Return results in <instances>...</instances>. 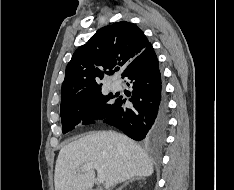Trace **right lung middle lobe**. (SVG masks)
Returning <instances> with one entry per match:
<instances>
[{
    "instance_id": "obj_1",
    "label": "right lung middle lobe",
    "mask_w": 234,
    "mask_h": 190,
    "mask_svg": "<svg viewBox=\"0 0 234 190\" xmlns=\"http://www.w3.org/2000/svg\"><path fill=\"white\" fill-rule=\"evenodd\" d=\"M115 96L110 93L104 96L101 89L87 92L72 100L61 104V121L62 131L67 133L74 129V127L83 121L87 125L93 119H104L108 117L117 104L112 101Z\"/></svg>"
}]
</instances>
